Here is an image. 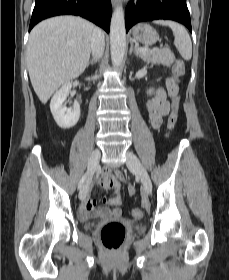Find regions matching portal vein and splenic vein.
<instances>
[{"label":"portal vein and splenic vein","mask_w":229,"mask_h":280,"mask_svg":"<svg viewBox=\"0 0 229 280\" xmlns=\"http://www.w3.org/2000/svg\"><path fill=\"white\" fill-rule=\"evenodd\" d=\"M153 50H155V49H152V50L147 49V48H138L137 49V51L140 52V53H145V52H149V51H153Z\"/></svg>","instance_id":"portal-vein-and-splenic-vein-1"}]
</instances>
